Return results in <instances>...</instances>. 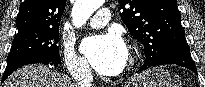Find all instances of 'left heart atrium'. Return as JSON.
Here are the masks:
<instances>
[{"mask_svg":"<svg viewBox=\"0 0 205 87\" xmlns=\"http://www.w3.org/2000/svg\"><path fill=\"white\" fill-rule=\"evenodd\" d=\"M82 51L91 65L103 75L118 74L127 58L126 46L115 33L85 39Z\"/></svg>","mask_w":205,"mask_h":87,"instance_id":"obj_1","label":"left heart atrium"}]
</instances>
